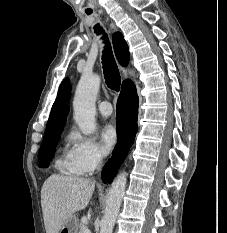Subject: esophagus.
Segmentation results:
<instances>
[{
	"label": "esophagus",
	"mask_w": 227,
	"mask_h": 233,
	"mask_svg": "<svg viewBox=\"0 0 227 233\" xmlns=\"http://www.w3.org/2000/svg\"><path fill=\"white\" fill-rule=\"evenodd\" d=\"M120 71H121L123 76H127L126 69L123 66H120Z\"/></svg>",
	"instance_id": "34e87169"
}]
</instances>
